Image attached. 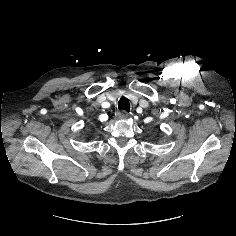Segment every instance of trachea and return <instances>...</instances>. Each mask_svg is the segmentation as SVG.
<instances>
[{
	"label": "trachea",
	"instance_id": "1",
	"mask_svg": "<svg viewBox=\"0 0 236 236\" xmlns=\"http://www.w3.org/2000/svg\"><path fill=\"white\" fill-rule=\"evenodd\" d=\"M118 108L120 110L130 111V102L126 97H121L119 100Z\"/></svg>",
	"mask_w": 236,
	"mask_h": 236
}]
</instances>
